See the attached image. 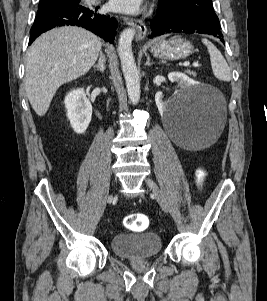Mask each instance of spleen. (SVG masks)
Segmentation results:
<instances>
[{"label":"spleen","mask_w":267,"mask_h":301,"mask_svg":"<svg viewBox=\"0 0 267 301\" xmlns=\"http://www.w3.org/2000/svg\"><path fill=\"white\" fill-rule=\"evenodd\" d=\"M202 42L210 54L211 66L215 77L222 81H230L231 71L221 52L208 39H202Z\"/></svg>","instance_id":"3e777b00"}]
</instances>
